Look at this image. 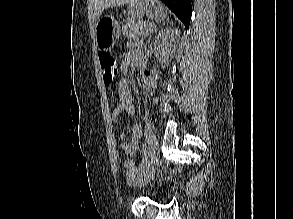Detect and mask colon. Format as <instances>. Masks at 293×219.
Returning <instances> with one entry per match:
<instances>
[{
	"instance_id": "obj_1",
	"label": "colon",
	"mask_w": 293,
	"mask_h": 219,
	"mask_svg": "<svg viewBox=\"0 0 293 219\" xmlns=\"http://www.w3.org/2000/svg\"><path fill=\"white\" fill-rule=\"evenodd\" d=\"M99 62L103 72V79L106 84H111L118 74V63L116 58L109 52L101 51L99 53ZM125 167L129 175L134 174V161L128 159L125 161ZM133 178V176L131 177Z\"/></svg>"
}]
</instances>
